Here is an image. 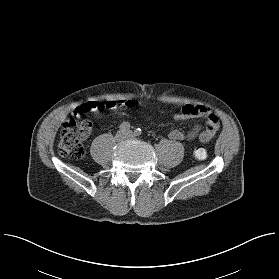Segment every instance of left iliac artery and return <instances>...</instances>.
<instances>
[{
  "label": "left iliac artery",
  "instance_id": "left-iliac-artery-1",
  "mask_svg": "<svg viewBox=\"0 0 279 279\" xmlns=\"http://www.w3.org/2000/svg\"><path fill=\"white\" fill-rule=\"evenodd\" d=\"M134 134H135L136 136H140V135L142 134L141 128H137V129L134 131Z\"/></svg>",
  "mask_w": 279,
  "mask_h": 279
}]
</instances>
